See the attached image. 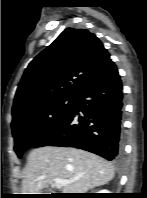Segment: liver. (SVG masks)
I'll list each match as a JSON object with an SVG mask.
<instances>
[{
    "label": "liver",
    "mask_w": 147,
    "mask_h": 198,
    "mask_svg": "<svg viewBox=\"0 0 147 198\" xmlns=\"http://www.w3.org/2000/svg\"><path fill=\"white\" fill-rule=\"evenodd\" d=\"M114 175L113 165L95 154L72 147L43 146L28 156L22 194H41L55 179L69 182L61 186V193H86L107 184Z\"/></svg>",
    "instance_id": "6515ba94"
}]
</instances>
